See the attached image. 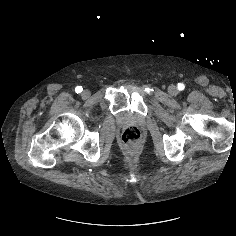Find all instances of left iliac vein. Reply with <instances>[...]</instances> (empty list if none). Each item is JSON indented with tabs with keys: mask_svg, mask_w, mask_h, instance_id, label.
Instances as JSON below:
<instances>
[{
	"mask_svg": "<svg viewBox=\"0 0 236 236\" xmlns=\"http://www.w3.org/2000/svg\"><path fill=\"white\" fill-rule=\"evenodd\" d=\"M168 92H169L170 95L175 96V95L178 94V89L175 85H170L168 87Z\"/></svg>",
	"mask_w": 236,
	"mask_h": 236,
	"instance_id": "4c4485c4",
	"label": "left iliac vein"
}]
</instances>
